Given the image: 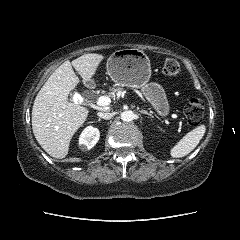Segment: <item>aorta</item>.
<instances>
[{
  "label": "aorta",
  "mask_w": 240,
  "mask_h": 240,
  "mask_svg": "<svg viewBox=\"0 0 240 240\" xmlns=\"http://www.w3.org/2000/svg\"><path fill=\"white\" fill-rule=\"evenodd\" d=\"M135 117V114L134 112L128 110V111H124L121 113V119L124 121V122H130L134 119Z\"/></svg>",
  "instance_id": "obj_1"
}]
</instances>
